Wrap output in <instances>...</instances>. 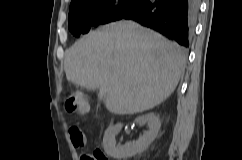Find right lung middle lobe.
I'll return each mask as SVG.
<instances>
[{
	"mask_svg": "<svg viewBox=\"0 0 242 160\" xmlns=\"http://www.w3.org/2000/svg\"><path fill=\"white\" fill-rule=\"evenodd\" d=\"M143 0H83L69 8L68 27L78 37L90 27L120 20Z\"/></svg>",
	"mask_w": 242,
	"mask_h": 160,
	"instance_id": "dd1d6c3e",
	"label": "right lung middle lobe"
}]
</instances>
